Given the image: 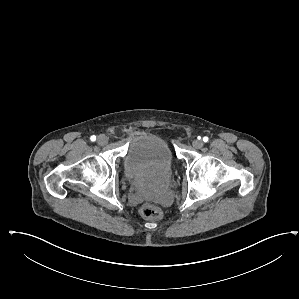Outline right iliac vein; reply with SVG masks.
<instances>
[{
	"label": "right iliac vein",
	"instance_id": "63e3f726",
	"mask_svg": "<svg viewBox=\"0 0 299 299\" xmlns=\"http://www.w3.org/2000/svg\"><path fill=\"white\" fill-rule=\"evenodd\" d=\"M97 142L99 145H105L108 143V137L104 134H101L97 137Z\"/></svg>",
	"mask_w": 299,
	"mask_h": 299
}]
</instances>
